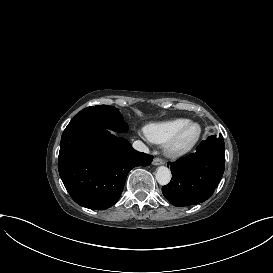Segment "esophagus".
Listing matches in <instances>:
<instances>
[{
  "mask_svg": "<svg viewBox=\"0 0 273 273\" xmlns=\"http://www.w3.org/2000/svg\"><path fill=\"white\" fill-rule=\"evenodd\" d=\"M165 162L162 160V159H160V158H155L154 160H153V162H152V164L153 165H162V164H164Z\"/></svg>",
  "mask_w": 273,
  "mask_h": 273,
  "instance_id": "esophagus-1",
  "label": "esophagus"
}]
</instances>
